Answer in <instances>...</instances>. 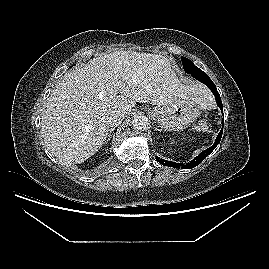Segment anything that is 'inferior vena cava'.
<instances>
[{"label":"inferior vena cava","mask_w":269,"mask_h":269,"mask_svg":"<svg viewBox=\"0 0 269 269\" xmlns=\"http://www.w3.org/2000/svg\"><path fill=\"white\" fill-rule=\"evenodd\" d=\"M124 113L121 111L112 112L107 116V123L110 127H116L121 124Z\"/></svg>","instance_id":"inferior-vena-cava-1"}]
</instances>
